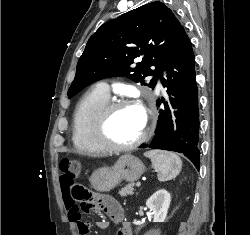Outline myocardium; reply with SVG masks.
<instances>
[{
  "label": "myocardium",
  "instance_id": "1",
  "mask_svg": "<svg viewBox=\"0 0 250 235\" xmlns=\"http://www.w3.org/2000/svg\"><path fill=\"white\" fill-rule=\"evenodd\" d=\"M136 107L128 99H117L108 101L98 112L93 124V137L96 143L110 152L130 151L140 146L146 139L148 133L149 116L145 113V122L141 134L132 142L127 144H116L107 135V127L113 113L121 108Z\"/></svg>",
  "mask_w": 250,
  "mask_h": 235
}]
</instances>
